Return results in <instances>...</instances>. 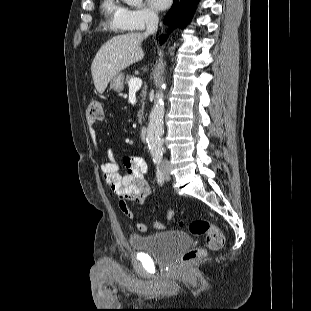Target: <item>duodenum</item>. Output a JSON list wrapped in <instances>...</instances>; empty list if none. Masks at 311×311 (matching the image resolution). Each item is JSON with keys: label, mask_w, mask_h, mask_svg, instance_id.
I'll list each match as a JSON object with an SVG mask.
<instances>
[{"label": "duodenum", "mask_w": 311, "mask_h": 311, "mask_svg": "<svg viewBox=\"0 0 311 311\" xmlns=\"http://www.w3.org/2000/svg\"><path fill=\"white\" fill-rule=\"evenodd\" d=\"M140 138L143 142H146L148 137V128L146 126H142L139 131Z\"/></svg>", "instance_id": "obj_1"}]
</instances>
